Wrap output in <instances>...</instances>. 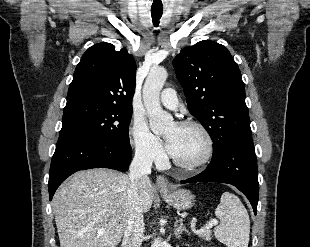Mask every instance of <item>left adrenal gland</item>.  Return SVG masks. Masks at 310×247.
Returning <instances> with one entry per match:
<instances>
[{"label":"left adrenal gland","mask_w":310,"mask_h":247,"mask_svg":"<svg viewBox=\"0 0 310 247\" xmlns=\"http://www.w3.org/2000/svg\"><path fill=\"white\" fill-rule=\"evenodd\" d=\"M179 223V225H177ZM175 231H174V235L176 238H179L182 234V232L188 233V230L186 229V227L183 225V220H176L175 223Z\"/></svg>","instance_id":"a2214340"}]
</instances>
